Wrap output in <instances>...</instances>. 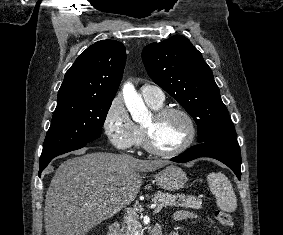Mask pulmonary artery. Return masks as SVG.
<instances>
[{
	"label": "pulmonary artery",
	"mask_w": 283,
	"mask_h": 235,
	"mask_svg": "<svg viewBox=\"0 0 283 235\" xmlns=\"http://www.w3.org/2000/svg\"><path fill=\"white\" fill-rule=\"evenodd\" d=\"M141 93L146 101L154 103H162L164 101V93L161 88L155 85H143Z\"/></svg>",
	"instance_id": "1"
}]
</instances>
